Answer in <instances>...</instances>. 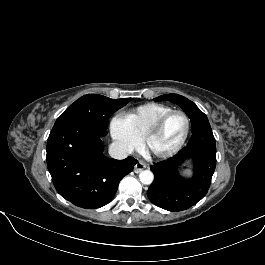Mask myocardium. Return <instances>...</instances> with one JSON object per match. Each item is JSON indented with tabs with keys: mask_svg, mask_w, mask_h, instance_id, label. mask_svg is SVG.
<instances>
[{
	"mask_svg": "<svg viewBox=\"0 0 265 265\" xmlns=\"http://www.w3.org/2000/svg\"><path fill=\"white\" fill-rule=\"evenodd\" d=\"M173 114H179L183 116L186 121V130H185V133L182 139L172 148L161 150V151L153 150L151 148V141L159 133L165 121ZM190 130H191V122H190V118L188 117V115L184 111L171 109L168 112L161 115L152 124V126L146 131V133L142 137V144L144 148L154 157H157V158L171 157L175 155L176 153H178L183 148V146L185 145L189 137Z\"/></svg>",
	"mask_w": 265,
	"mask_h": 265,
	"instance_id": "f54148a6",
	"label": "myocardium"
}]
</instances>
